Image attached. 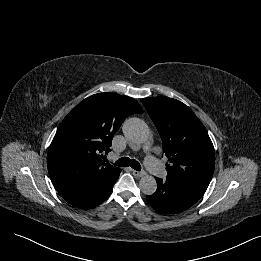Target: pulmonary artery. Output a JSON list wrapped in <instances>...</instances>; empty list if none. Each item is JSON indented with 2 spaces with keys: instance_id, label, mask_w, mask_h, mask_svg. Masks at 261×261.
<instances>
[{
  "instance_id": "obj_1",
  "label": "pulmonary artery",
  "mask_w": 261,
  "mask_h": 261,
  "mask_svg": "<svg viewBox=\"0 0 261 261\" xmlns=\"http://www.w3.org/2000/svg\"><path fill=\"white\" fill-rule=\"evenodd\" d=\"M145 165L153 175L157 177H163L165 175V170L160 161L149 153L145 157Z\"/></svg>"
}]
</instances>
